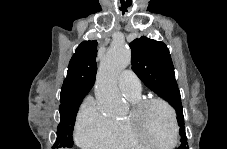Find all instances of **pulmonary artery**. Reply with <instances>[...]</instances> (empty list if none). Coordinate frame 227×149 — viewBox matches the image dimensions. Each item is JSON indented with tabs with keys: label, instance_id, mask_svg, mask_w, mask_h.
Here are the masks:
<instances>
[{
	"label": "pulmonary artery",
	"instance_id": "pulmonary-artery-1",
	"mask_svg": "<svg viewBox=\"0 0 227 149\" xmlns=\"http://www.w3.org/2000/svg\"><path fill=\"white\" fill-rule=\"evenodd\" d=\"M118 86L126 97L138 96L142 90L140 80L135 73L130 70L122 71L119 74Z\"/></svg>",
	"mask_w": 227,
	"mask_h": 149
}]
</instances>
